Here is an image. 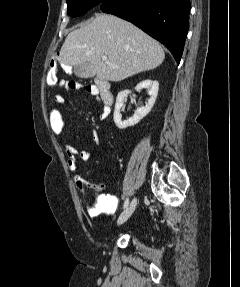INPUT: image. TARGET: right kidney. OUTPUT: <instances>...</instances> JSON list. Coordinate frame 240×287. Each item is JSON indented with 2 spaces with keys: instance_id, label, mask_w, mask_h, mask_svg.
I'll return each mask as SVG.
<instances>
[{
  "instance_id": "right-kidney-1",
  "label": "right kidney",
  "mask_w": 240,
  "mask_h": 287,
  "mask_svg": "<svg viewBox=\"0 0 240 287\" xmlns=\"http://www.w3.org/2000/svg\"><path fill=\"white\" fill-rule=\"evenodd\" d=\"M143 88L149 89L148 93H149L150 98L148 99V102L146 103L145 106L137 108L134 115L127 120L122 119L121 108L124 106L125 98L128 96L130 91L123 90L118 93L117 98H116V103H115L113 119H114L116 126L119 129H125L127 127L136 125L137 123H139L141 119H143L151 111L157 98V94L159 90V83L155 80L147 79V80L140 82L135 87V90L139 91Z\"/></svg>"
}]
</instances>
